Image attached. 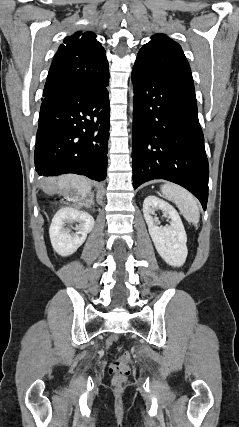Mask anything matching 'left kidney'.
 <instances>
[{"label":"left kidney","instance_id":"obj_1","mask_svg":"<svg viewBox=\"0 0 239 427\" xmlns=\"http://www.w3.org/2000/svg\"><path fill=\"white\" fill-rule=\"evenodd\" d=\"M155 210H162L167 213L171 219L170 225L159 227L152 216ZM143 214L149 234L159 255L171 266H182L188 254L187 236L175 208L155 196H148L143 202Z\"/></svg>","mask_w":239,"mask_h":427}]
</instances>
